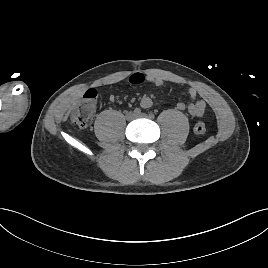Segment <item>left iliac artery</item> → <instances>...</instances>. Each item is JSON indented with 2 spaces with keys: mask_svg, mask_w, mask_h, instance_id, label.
<instances>
[{
  "mask_svg": "<svg viewBox=\"0 0 268 268\" xmlns=\"http://www.w3.org/2000/svg\"><path fill=\"white\" fill-rule=\"evenodd\" d=\"M154 117H155V115H154L153 113H150V114H149V118H150V119H154Z\"/></svg>",
  "mask_w": 268,
  "mask_h": 268,
  "instance_id": "left-iliac-artery-1",
  "label": "left iliac artery"
}]
</instances>
